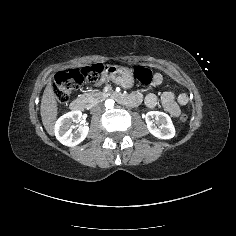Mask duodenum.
Returning a JSON list of instances; mask_svg holds the SVG:
<instances>
[{
	"instance_id": "obj_1",
	"label": "duodenum",
	"mask_w": 236,
	"mask_h": 236,
	"mask_svg": "<svg viewBox=\"0 0 236 236\" xmlns=\"http://www.w3.org/2000/svg\"><path fill=\"white\" fill-rule=\"evenodd\" d=\"M111 96L115 98L118 102L129 106H137L140 103V99L136 95H124L121 93L114 92L111 93ZM84 108L85 103L80 98L74 99L70 103V109L75 113L82 112Z\"/></svg>"
}]
</instances>
